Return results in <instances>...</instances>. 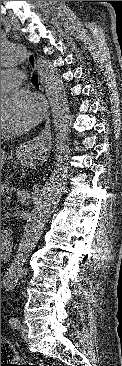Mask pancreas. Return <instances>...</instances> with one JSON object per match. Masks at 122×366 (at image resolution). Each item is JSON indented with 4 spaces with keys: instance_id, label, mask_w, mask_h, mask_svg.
<instances>
[{
    "instance_id": "obj_1",
    "label": "pancreas",
    "mask_w": 122,
    "mask_h": 366,
    "mask_svg": "<svg viewBox=\"0 0 122 366\" xmlns=\"http://www.w3.org/2000/svg\"><path fill=\"white\" fill-rule=\"evenodd\" d=\"M7 190H9V183L1 182V197L5 195Z\"/></svg>"
}]
</instances>
